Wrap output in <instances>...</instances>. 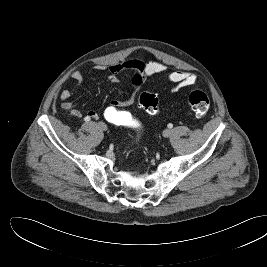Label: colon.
Instances as JSON below:
<instances>
[{
	"label": "colon",
	"instance_id": "colon-1",
	"mask_svg": "<svg viewBox=\"0 0 267 267\" xmlns=\"http://www.w3.org/2000/svg\"><path fill=\"white\" fill-rule=\"evenodd\" d=\"M139 105L147 113L156 115L159 112V104L156 96L149 92L141 93L139 97ZM190 109L198 117H203L207 114L210 102L207 95L199 90L192 91L187 98ZM103 118L110 124L121 127L138 128V123L131 114L123 110L120 106L110 103L102 112Z\"/></svg>",
	"mask_w": 267,
	"mask_h": 267
}]
</instances>
